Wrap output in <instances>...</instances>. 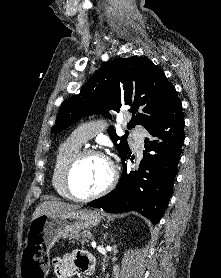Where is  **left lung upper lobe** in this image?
Segmentation results:
<instances>
[{
    "label": "left lung upper lobe",
    "instance_id": "obj_1",
    "mask_svg": "<svg viewBox=\"0 0 221 278\" xmlns=\"http://www.w3.org/2000/svg\"><path fill=\"white\" fill-rule=\"evenodd\" d=\"M179 100L173 84L154 63L137 56L117 58L102 65L90 78L78 95L70 97L61 106L52 132L61 131L90 113L102 112L110 118L106 109L119 112L130 106L132 119L128 128L140 124L146 127L160 119ZM108 134L120 157L129 151L127 139L119 137L115 129Z\"/></svg>",
    "mask_w": 221,
    "mask_h": 278
}]
</instances>
